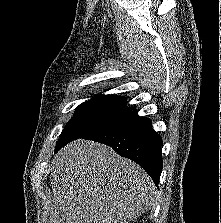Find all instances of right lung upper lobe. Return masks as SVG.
Returning a JSON list of instances; mask_svg holds the SVG:
<instances>
[{"instance_id":"right-lung-upper-lobe-1","label":"right lung upper lobe","mask_w":221,"mask_h":223,"mask_svg":"<svg viewBox=\"0 0 221 223\" xmlns=\"http://www.w3.org/2000/svg\"><path fill=\"white\" fill-rule=\"evenodd\" d=\"M92 100H99V101H109L119 104H125L126 98L123 96L117 95H97L92 98Z\"/></svg>"}]
</instances>
